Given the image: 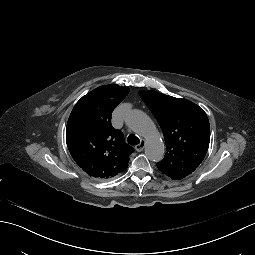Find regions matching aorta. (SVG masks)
Masks as SVG:
<instances>
[{
	"label": "aorta",
	"mask_w": 255,
	"mask_h": 255,
	"mask_svg": "<svg viewBox=\"0 0 255 255\" xmlns=\"http://www.w3.org/2000/svg\"><path fill=\"white\" fill-rule=\"evenodd\" d=\"M126 124L146 140V157L154 162L160 161L165 153V146L153 121L140 110H130L125 118Z\"/></svg>",
	"instance_id": "1"
}]
</instances>
